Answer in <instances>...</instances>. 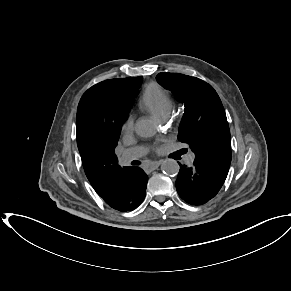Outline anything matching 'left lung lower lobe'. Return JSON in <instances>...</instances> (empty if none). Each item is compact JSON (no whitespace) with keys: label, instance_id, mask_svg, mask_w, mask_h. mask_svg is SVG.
<instances>
[{"label":"left lung lower lobe","instance_id":"0a47b994","mask_svg":"<svg viewBox=\"0 0 291 291\" xmlns=\"http://www.w3.org/2000/svg\"><path fill=\"white\" fill-rule=\"evenodd\" d=\"M179 165L176 189L179 196L191 205H203L215 197L227 177L196 160L192 167Z\"/></svg>","mask_w":291,"mask_h":291}]
</instances>
